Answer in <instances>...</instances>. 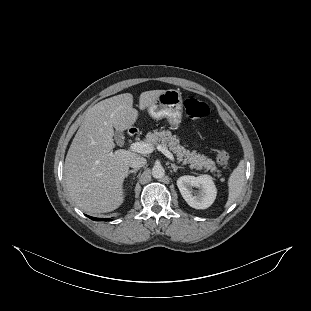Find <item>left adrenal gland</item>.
<instances>
[{"mask_svg":"<svg viewBox=\"0 0 311 311\" xmlns=\"http://www.w3.org/2000/svg\"><path fill=\"white\" fill-rule=\"evenodd\" d=\"M171 167L173 169L174 172H176L178 169H183L184 167L181 166H176L175 164L171 163Z\"/></svg>","mask_w":311,"mask_h":311,"instance_id":"1","label":"left adrenal gland"}]
</instances>
